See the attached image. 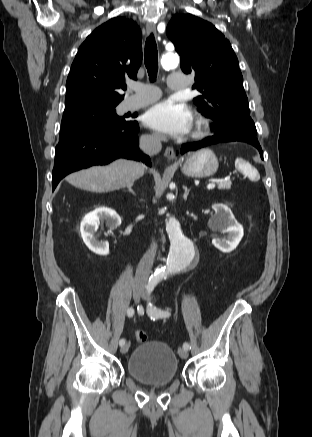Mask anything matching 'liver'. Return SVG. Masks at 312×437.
<instances>
[{"label":"liver","mask_w":312,"mask_h":437,"mask_svg":"<svg viewBox=\"0 0 312 437\" xmlns=\"http://www.w3.org/2000/svg\"><path fill=\"white\" fill-rule=\"evenodd\" d=\"M144 174L140 162L118 159L106 166H93L67 176L72 186L96 193H105L132 186Z\"/></svg>","instance_id":"liver-1"}]
</instances>
